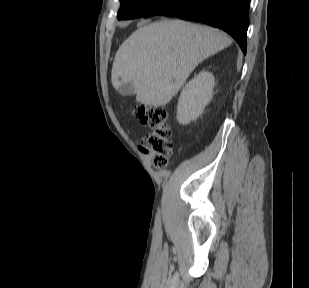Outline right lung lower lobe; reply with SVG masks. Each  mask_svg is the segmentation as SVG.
<instances>
[{
    "label": "right lung lower lobe",
    "instance_id": "obj_1",
    "mask_svg": "<svg viewBox=\"0 0 309 288\" xmlns=\"http://www.w3.org/2000/svg\"><path fill=\"white\" fill-rule=\"evenodd\" d=\"M251 0H164L146 12L154 15L176 16L202 22L229 33L246 54Z\"/></svg>",
    "mask_w": 309,
    "mask_h": 288
}]
</instances>
